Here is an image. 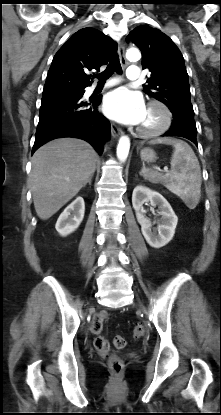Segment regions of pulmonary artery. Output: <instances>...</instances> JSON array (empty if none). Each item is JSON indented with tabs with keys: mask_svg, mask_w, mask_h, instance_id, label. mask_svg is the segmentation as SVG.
Instances as JSON below:
<instances>
[{
	"mask_svg": "<svg viewBox=\"0 0 221 415\" xmlns=\"http://www.w3.org/2000/svg\"><path fill=\"white\" fill-rule=\"evenodd\" d=\"M126 77H127V79L132 80V81L139 79L140 69L135 65L129 66L126 70ZM118 83H119V80L113 79V80L108 81L105 86L106 87H111V86H114Z\"/></svg>",
	"mask_w": 221,
	"mask_h": 415,
	"instance_id": "1",
	"label": "pulmonary artery"
}]
</instances>
